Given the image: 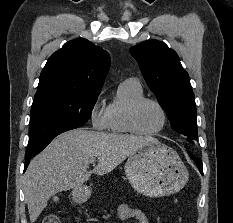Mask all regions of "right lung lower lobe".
<instances>
[{
    "label": "right lung lower lobe",
    "mask_w": 233,
    "mask_h": 223,
    "mask_svg": "<svg viewBox=\"0 0 233 223\" xmlns=\"http://www.w3.org/2000/svg\"><path fill=\"white\" fill-rule=\"evenodd\" d=\"M38 153H39V152H38ZM38 153H33V154H30L29 156L26 157V167H25V170H26V168H27V166H28L30 160H31L36 154H38ZM25 170H24V171H25Z\"/></svg>",
    "instance_id": "1"
}]
</instances>
